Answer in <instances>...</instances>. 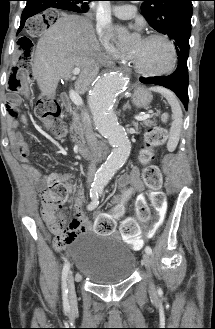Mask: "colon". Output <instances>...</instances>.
Here are the masks:
<instances>
[{
    "label": "colon",
    "instance_id": "5ec220e1",
    "mask_svg": "<svg viewBox=\"0 0 215 329\" xmlns=\"http://www.w3.org/2000/svg\"><path fill=\"white\" fill-rule=\"evenodd\" d=\"M62 14H33L32 19H28V25H24V32H28L26 37H18V55H14V61L8 62L11 68L12 76L9 84L10 92H7L6 109H23V103H26V74L25 68H29L28 59L32 55V44L38 43V38H49L50 26L53 21H62ZM35 115L50 126L51 130L58 135L63 133L62 123L58 107L48 99H39L35 105ZM163 119L167 120L168 115L164 114ZM167 138V131L164 128H154L146 134V143L141 151L140 159L144 164L143 179L148 189L149 203L152 206V215L156 219L152 236L162 225V222L169 217V206H166V197L161 191L162 174L160 169L151 164L154 158V151L160 147ZM44 201L54 210H62L70 202V193L67 182L58 176H52L48 187L44 191ZM149 218H138L144 222ZM97 220H111L100 219ZM73 224L67 222H58L52 226V231L57 235V244L64 245L69 242ZM122 236L128 240H133L140 235L139 224L131 219L123 221L121 225Z\"/></svg>",
    "mask_w": 215,
    "mask_h": 329
}]
</instances>
